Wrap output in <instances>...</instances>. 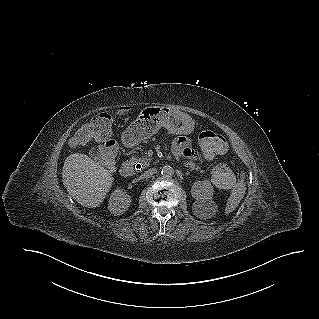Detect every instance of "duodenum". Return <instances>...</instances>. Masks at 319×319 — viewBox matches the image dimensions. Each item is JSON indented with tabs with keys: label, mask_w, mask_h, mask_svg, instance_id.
<instances>
[{
	"label": "duodenum",
	"mask_w": 319,
	"mask_h": 319,
	"mask_svg": "<svg viewBox=\"0 0 319 319\" xmlns=\"http://www.w3.org/2000/svg\"><path fill=\"white\" fill-rule=\"evenodd\" d=\"M132 143H133L132 139H130V138H126L125 139V144L127 146H130ZM134 170H135V166L133 165V163L125 162L121 166L120 173L124 177H129V176H131L133 174Z\"/></svg>",
	"instance_id": "1"
}]
</instances>
